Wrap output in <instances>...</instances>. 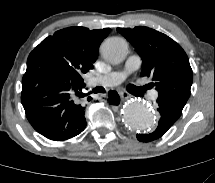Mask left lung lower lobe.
I'll list each match as a JSON object with an SVG mask.
<instances>
[{"mask_svg": "<svg viewBox=\"0 0 215 183\" xmlns=\"http://www.w3.org/2000/svg\"><path fill=\"white\" fill-rule=\"evenodd\" d=\"M157 105L160 113L159 125L151 134H138L137 139L141 142H149L160 138L180 117L167 105L161 102H157Z\"/></svg>", "mask_w": 215, "mask_h": 183, "instance_id": "left-lung-lower-lobe-1", "label": "left lung lower lobe"}]
</instances>
